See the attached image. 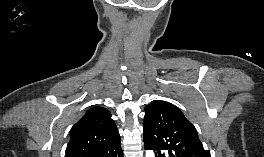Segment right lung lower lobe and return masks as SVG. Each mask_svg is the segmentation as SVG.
Masks as SVG:
<instances>
[{"label":"right lung lower lobe","instance_id":"obj_1","mask_svg":"<svg viewBox=\"0 0 264 157\" xmlns=\"http://www.w3.org/2000/svg\"><path fill=\"white\" fill-rule=\"evenodd\" d=\"M97 157H123V151L121 149V142L115 147H113L112 149H109L99 154Z\"/></svg>","mask_w":264,"mask_h":157}]
</instances>
